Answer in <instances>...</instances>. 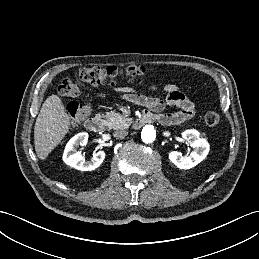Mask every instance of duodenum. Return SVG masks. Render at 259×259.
Listing matches in <instances>:
<instances>
[{"instance_id": "duodenum-1", "label": "duodenum", "mask_w": 259, "mask_h": 259, "mask_svg": "<svg viewBox=\"0 0 259 259\" xmlns=\"http://www.w3.org/2000/svg\"><path fill=\"white\" fill-rule=\"evenodd\" d=\"M152 120H153L152 115L150 113L145 112L135 120L133 127L135 129H139L143 125L147 124ZM85 126L87 130H89L90 132L99 133L104 128V122L100 117H91L86 120Z\"/></svg>"}]
</instances>
